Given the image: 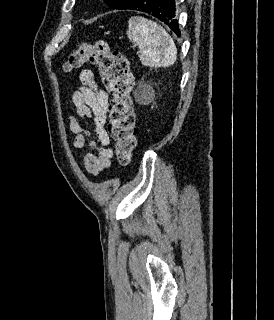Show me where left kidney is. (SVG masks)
Wrapping results in <instances>:
<instances>
[{
	"mask_svg": "<svg viewBox=\"0 0 274 320\" xmlns=\"http://www.w3.org/2000/svg\"><path fill=\"white\" fill-rule=\"evenodd\" d=\"M134 94L135 98H137V102H139V104H144V106L151 104L155 96L154 90L151 86H142L141 90L138 88Z\"/></svg>",
	"mask_w": 274,
	"mask_h": 320,
	"instance_id": "5707ae66",
	"label": "left kidney"
}]
</instances>
